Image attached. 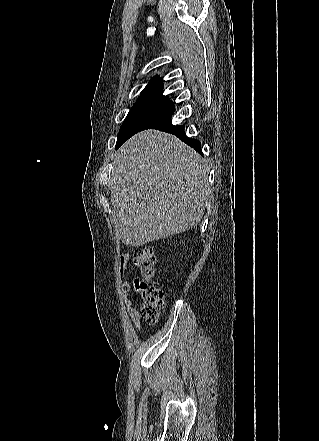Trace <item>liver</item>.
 Instances as JSON below:
<instances>
[{
    "label": "liver",
    "instance_id": "liver-1",
    "mask_svg": "<svg viewBox=\"0 0 319 441\" xmlns=\"http://www.w3.org/2000/svg\"><path fill=\"white\" fill-rule=\"evenodd\" d=\"M206 161L177 137L139 132L116 153L111 202L120 238L139 247L196 226L213 199Z\"/></svg>",
    "mask_w": 319,
    "mask_h": 441
}]
</instances>
